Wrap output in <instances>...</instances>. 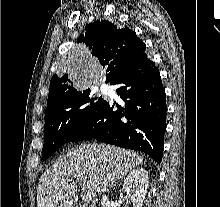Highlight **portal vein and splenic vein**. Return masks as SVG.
<instances>
[{"label": "portal vein and splenic vein", "instance_id": "18ae733b", "mask_svg": "<svg viewBox=\"0 0 220 207\" xmlns=\"http://www.w3.org/2000/svg\"><path fill=\"white\" fill-rule=\"evenodd\" d=\"M82 199L84 200V202H90L91 199H92V195L91 193H84L83 196H82Z\"/></svg>", "mask_w": 220, "mask_h": 207}]
</instances>
